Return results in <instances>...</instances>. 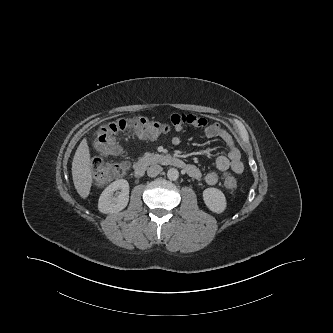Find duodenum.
<instances>
[{
	"mask_svg": "<svg viewBox=\"0 0 333 333\" xmlns=\"http://www.w3.org/2000/svg\"><path fill=\"white\" fill-rule=\"evenodd\" d=\"M152 164H161L165 166H172L180 169H185L187 171L190 170V165L183 161L180 158L165 155V154H157V155H147L140 158L134 165V175L135 177H141L146 169Z\"/></svg>",
	"mask_w": 333,
	"mask_h": 333,
	"instance_id": "1",
	"label": "duodenum"
}]
</instances>
